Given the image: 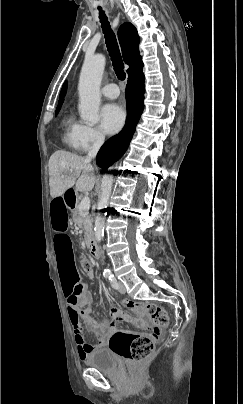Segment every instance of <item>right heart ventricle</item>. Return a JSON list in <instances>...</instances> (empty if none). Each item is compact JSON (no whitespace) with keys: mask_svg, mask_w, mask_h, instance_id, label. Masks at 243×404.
Segmentation results:
<instances>
[{"mask_svg":"<svg viewBox=\"0 0 243 404\" xmlns=\"http://www.w3.org/2000/svg\"><path fill=\"white\" fill-rule=\"evenodd\" d=\"M78 124L79 123L71 114H67L63 118L61 140L62 143L70 149H73V139Z\"/></svg>","mask_w":243,"mask_h":404,"instance_id":"right-heart-ventricle-1","label":"right heart ventricle"}]
</instances>
